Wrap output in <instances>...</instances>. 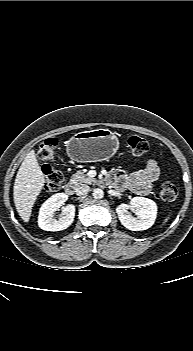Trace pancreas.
I'll use <instances>...</instances> for the list:
<instances>
[{
    "mask_svg": "<svg viewBox=\"0 0 193 351\" xmlns=\"http://www.w3.org/2000/svg\"><path fill=\"white\" fill-rule=\"evenodd\" d=\"M70 182L74 185H77L79 183H96V179L93 177H90L87 173L83 171H77L75 174L72 175V178Z\"/></svg>",
    "mask_w": 193,
    "mask_h": 351,
    "instance_id": "cf45deb5",
    "label": "pancreas"
}]
</instances>
